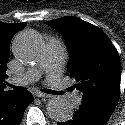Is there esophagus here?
I'll return each mask as SVG.
<instances>
[{
  "label": "esophagus",
  "instance_id": "34e87169",
  "mask_svg": "<svg viewBox=\"0 0 125 125\" xmlns=\"http://www.w3.org/2000/svg\"><path fill=\"white\" fill-rule=\"evenodd\" d=\"M35 96L38 97V98H50V97H52L51 95L45 94V93H42V92H35Z\"/></svg>",
  "mask_w": 125,
  "mask_h": 125
}]
</instances>
